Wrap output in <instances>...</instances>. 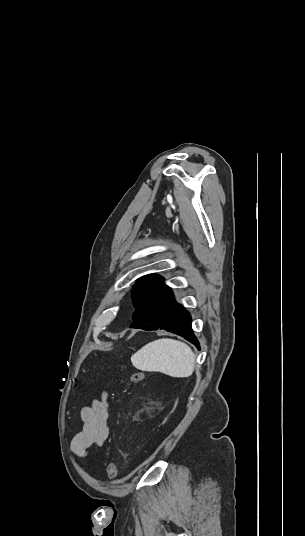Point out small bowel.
Here are the masks:
<instances>
[{
	"instance_id": "1",
	"label": "small bowel",
	"mask_w": 305,
	"mask_h": 536,
	"mask_svg": "<svg viewBox=\"0 0 305 536\" xmlns=\"http://www.w3.org/2000/svg\"><path fill=\"white\" fill-rule=\"evenodd\" d=\"M108 418L109 408L105 396L82 408V430L72 441V449L78 456H85L91 446L102 445L105 442L109 435Z\"/></svg>"
}]
</instances>
